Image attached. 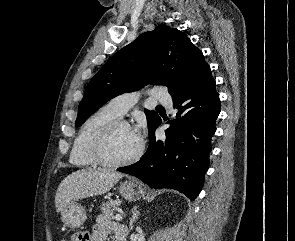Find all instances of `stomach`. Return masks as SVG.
Returning <instances> with one entry per match:
<instances>
[{
	"label": "stomach",
	"instance_id": "stomach-1",
	"mask_svg": "<svg viewBox=\"0 0 295 241\" xmlns=\"http://www.w3.org/2000/svg\"><path fill=\"white\" fill-rule=\"evenodd\" d=\"M119 192L129 201L137 200L145 194L144 188L134 179L121 182ZM86 219L87 215L85 208L77 202L69 204L61 211L62 222L64 225L73 229L81 227Z\"/></svg>",
	"mask_w": 295,
	"mask_h": 241
}]
</instances>
